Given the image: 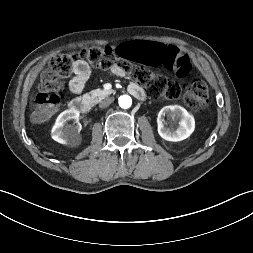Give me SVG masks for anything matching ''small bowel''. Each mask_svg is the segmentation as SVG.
Wrapping results in <instances>:
<instances>
[{
	"instance_id": "small-bowel-1",
	"label": "small bowel",
	"mask_w": 253,
	"mask_h": 253,
	"mask_svg": "<svg viewBox=\"0 0 253 253\" xmlns=\"http://www.w3.org/2000/svg\"><path fill=\"white\" fill-rule=\"evenodd\" d=\"M137 42V41H136ZM112 73L117 76H124L125 72L119 67H112ZM90 77V68L85 61L79 60L74 64L73 76L69 81V89L75 94H79L83 91L85 84Z\"/></svg>"
}]
</instances>
